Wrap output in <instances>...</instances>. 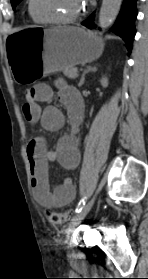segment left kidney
<instances>
[{"instance_id": "left-kidney-1", "label": "left kidney", "mask_w": 148, "mask_h": 279, "mask_svg": "<svg viewBox=\"0 0 148 279\" xmlns=\"http://www.w3.org/2000/svg\"><path fill=\"white\" fill-rule=\"evenodd\" d=\"M100 83L103 87H107L108 86V79L107 77H102V79L100 80Z\"/></svg>"}]
</instances>
